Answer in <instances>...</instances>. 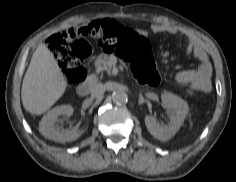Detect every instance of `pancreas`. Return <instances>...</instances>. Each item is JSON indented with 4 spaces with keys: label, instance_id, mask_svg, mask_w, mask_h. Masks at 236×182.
<instances>
[{
    "label": "pancreas",
    "instance_id": "1",
    "mask_svg": "<svg viewBox=\"0 0 236 182\" xmlns=\"http://www.w3.org/2000/svg\"><path fill=\"white\" fill-rule=\"evenodd\" d=\"M95 66L97 72L108 71L110 72L112 68V64L109 61V57L107 55H100L95 61Z\"/></svg>",
    "mask_w": 236,
    "mask_h": 182
}]
</instances>
